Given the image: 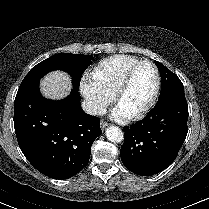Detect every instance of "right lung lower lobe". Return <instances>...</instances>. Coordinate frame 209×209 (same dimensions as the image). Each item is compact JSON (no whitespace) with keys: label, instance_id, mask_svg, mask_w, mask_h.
I'll list each match as a JSON object with an SVG mask.
<instances>
[{"label":"right lung lower lobe","instance_id":"1","mask_svg":"<svg viewBox=\"0 0 209 209\" xmlns=\"http://www.w3.org/2000/svg\"><path fill=\"white\" fill-rule=\"evenodd\" d=\"M77 88L64 100L41 96L39 81L18 90L14 128L19 147L42 174L67 179L81 171L102 134L100 119L86 114Z\"/></svg>","mask_w":209,"mask_h":209}]
</instances>
